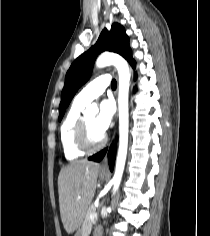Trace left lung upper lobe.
Masks as SVG:
<instances>
[{
	"label": "left lung upper lobe",
	"mask_w": 210,
	"mask_h": 236,
	"mask_svg": "<svg viewBox=\"0 0 210 236\" xmlns=\"http://www.w3.org/2000/svg\"><path fill=\"white\" fill-rule=\"evenodd\" d=\"M105 50L116 52L123 56L132 67L135 61L132 59L131 49L129 46V38L124 28L120 24H113L111 30L104 29L96 44L88 51L79 56L69 68L65 85L61 94V102L59 105V121L62 119L65 110L71 102L77 90L89 79L92 67L97 55Z\"/></svg>",
	"instance_id": "5c2ea615"
}]
</instances>
